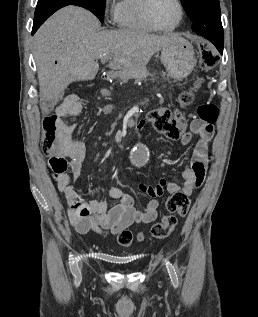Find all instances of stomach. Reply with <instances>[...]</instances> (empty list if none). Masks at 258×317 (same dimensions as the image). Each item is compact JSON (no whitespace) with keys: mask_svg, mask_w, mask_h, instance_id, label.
<instances>
[{"mask_svg":"<svg viewBox=\"0 0 258 317\" xmlns=\"http://www.w3.org/2000/svg\"><path fill=\"white\" fill-rule=\"evenodd\" d=\"M161 62L171 78H184L196 64L195 50L189 40L182 38L180 42L162 48Z\"/></svg>","mask_w":258,"mask_h":317,"instance_id":"0dacf381","label":"stomach"}]
</instances>
